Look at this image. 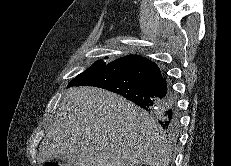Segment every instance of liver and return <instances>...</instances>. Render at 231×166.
<instances>
[{
	"label": "liver",
	"instance_id": "6515ba94",
	"mask_svg": "<svg viewBox=\"0 0 231 166\" xmlns=\"http://www.w3.org/2000/svg\"><path fill=\"white\" fill-rule=\"evenodd\" d=\"M172 146L162 127L123 97L74 87L39 149V160L67 166H169Z\"/></svg>",
	"mask_w": 231,
	"mask_h": 166
}]
</instances>
